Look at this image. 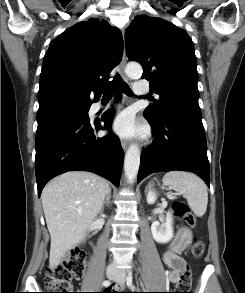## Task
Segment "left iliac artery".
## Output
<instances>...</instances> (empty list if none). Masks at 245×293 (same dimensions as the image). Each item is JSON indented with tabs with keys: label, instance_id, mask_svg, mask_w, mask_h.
Wrapping results in <instances>:
<instances>
[{
	"label": "left iliac artery",
	"instance_id": "1",
	"mask_svg": "<svg viewBox=\"0 0 245 293\" xmlns=\"http://www.w3.org/2000/svg\"><path fill=\"white\" fill-rule=\"evenodd\" d=\"M132 272H129L128 273V276H127V279H126V282H127V285L128 287H130L131 289H135L134 285L132 284Z\"/></svg>",
	"mask_w": 245,
	"mask_h": 293
}]
</instances>
